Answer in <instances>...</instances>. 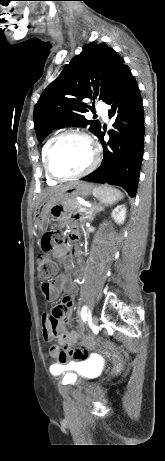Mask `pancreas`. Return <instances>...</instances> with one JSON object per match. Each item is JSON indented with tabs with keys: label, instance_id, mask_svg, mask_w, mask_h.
<instances>
[{
	"label": "pancreas",
	"instance_id": "cf45deb5",
	"mask_svg": "<svg viewBox=\"0 0 165 461\" xmlns=\"http://www.w3.org/2000/svg\"><path fill=\"white\" fill-rule=\"evenodd\" d=\"M82 205L75 198H67L63 202V209L67 212H77Z\"/></svg>",
	"mask_w": 165,
	"mask_h": 461
}]
</instances>
